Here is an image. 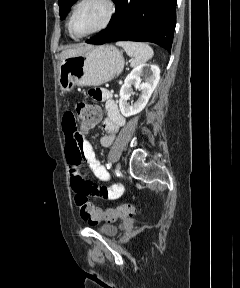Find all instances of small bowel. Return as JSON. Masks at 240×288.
<instances>
[{"instance_id": "obj_1", "label": "small bowel", "mask_w": 240, "mask_h": 288, "mask_svg": "<svg viewBox=\"0 0 240 288\" xmlns=\"http://www.w3.org/2000/svg\"><path fill=\"white\" fill-rule=\"evenodd\" d=\"M90 96L105 103L106 117L103 120V129L106 135L100 139V144L103 147H109L119 129L125 124V118L109 90L95 88L90 90ZM62 131L66 143V157L73 190L76 193L94 198L118 199L124 192V186L121 183H112L109 186L97 185L90 180L87 172L83 169L82 163L85 162L99 180L103 182L110 181V176L96 158L91 143L78 130L72 111L65 112L62 120Z\"/></svg>"}]
</instances>
